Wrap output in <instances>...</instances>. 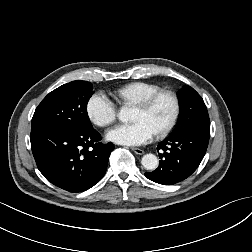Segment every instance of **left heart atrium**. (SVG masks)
<instances>
[{"mask_svg":"<svg viewBox=\"0 0 252 252\" xmlns=\"http://www.w3.org/2000/svg\"><path fill=\"white\" fill-rule=\"evenodd\" d=\"M155 131L143 120L119 124L107 132V139L121 145L136 146L147 143Z\"/></svg>","mask_w":252,"mask_h":252,"instance_id":"left-heart-atrium-1","label":"left heart atrium"}]
</instances>
